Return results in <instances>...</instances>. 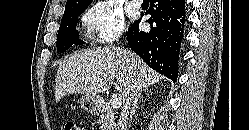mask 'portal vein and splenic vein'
Returning <instances> with one entry per match:
<instances>
[{
    "instance_id": "portal-vein-and-splenic-vein-1",
    "label": "portal vein and splenic vein",
    "mask_w": 249,
    "mask_h": 130,
    "mask_svg": "<svg viewBox=\"0 0 249 130\" xmlns=\"http://www.w3.org/2000/svg\"><path fill=\"white\" fill-rule=\"evenodd\" d=\"M121 97L118 95H114L110 101L111 107L113 109L118 108L121 105Z\"/></svg>"
}]
</instances>
